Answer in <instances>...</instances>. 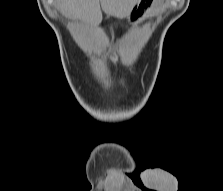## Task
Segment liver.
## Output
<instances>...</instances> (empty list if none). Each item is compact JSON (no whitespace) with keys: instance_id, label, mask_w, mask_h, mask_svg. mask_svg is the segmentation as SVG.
<instances>
[{"instance_id":"obj_1","label":"liver","mask_w":223,"mask_h":191,"mask_svg":"<svg viewBox=\"0 0 223 191\" xmlns=\"http://www.w3.org/2000/svg\"><path fill=\"white\" fill-rule=\"evenodd\" d=\"M137 0H57L61 12L91 26L102 21V10L108 16L125 18Z\"/></svg>"}]
</instances>
